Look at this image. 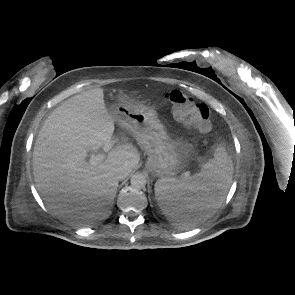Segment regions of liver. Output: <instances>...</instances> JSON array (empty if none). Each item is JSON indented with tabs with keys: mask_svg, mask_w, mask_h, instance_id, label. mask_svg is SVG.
<instances>
[{
	"mask_svg": "<svg viewBox=\"0 0 295 295\" xmlns=\"http://www.w3.org/2000/svg\"><path fill=\"white\" fill-rule=\"evenodd\" d=\"M114 122L103 89L96 88L62 102L40 129L33 150L34 180L49 208L62 220L100 215L114 199L116 170L122 167L129 174L139 163L137 148L125 139L99 164L86 161L88 151L111 140Z\"/></svg>",
	"mask_w": 295,
	"mask_h": 295,
	"instance_id": "obj_1",
	"label": "liver"
}]
</instances>
